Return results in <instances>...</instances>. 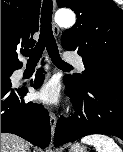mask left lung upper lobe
Here are the masks:
<instances>
[{
    "label": "left lung upper lobe",
    "instance_id": "obj_1",
    "mask_svg": "<svg viewBox=\"0 0 123 152\" xmlns=\"http://www.w3.org/2000/svg\"><path fill=\"white\" fill-rule=\"evenodd\" d=\"M72 9L75 25L64 31L62 47L83 57L82 75L67 76L84 88L96 78L123 79V10L113 0H57Z\"/></svg>",
    "mask_w": 123,
    "mask_h": 152
}]
</instances>
